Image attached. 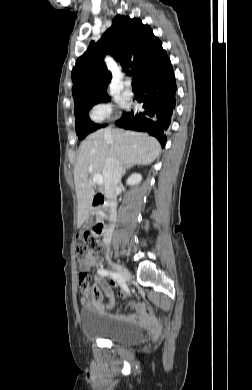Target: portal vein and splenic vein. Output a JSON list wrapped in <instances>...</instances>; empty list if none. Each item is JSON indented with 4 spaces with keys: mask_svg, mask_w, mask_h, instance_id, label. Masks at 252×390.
Wrapping results in <instances>:
<instances>
[{
    "mask_svg": "<svg viewBox=\"0 0 252 390\" xmlns=\"http://www.w3.org/2000/svg\"><path fill=\"white\" fill-rule=\"evenodd\" d=\"M88 169H89V171H92V168H91V167H89ZM93 182H94L96 185H101V184L103 183V177H102V175H100V174L94 175V176H93Z\"/></svg>",
    "mask_w": 252,
    "mask_h": 390,
    "instance_id": "obj_1",
    "label": "portal vein and splenic vein"
}]
</instances>
